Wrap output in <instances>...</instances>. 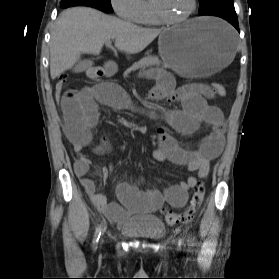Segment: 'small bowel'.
Wrapping results in <instances>:
<instances>
[{
	"instance_id": "1",
	"label": "small bowel",
	"mask_w": 279,
	"mask_h": 279,
	"mask_svg": "<svg viewBox=\"0 0 279 279\" xmlns=\"http://www.w3.org/2000/svg\"><path fill=\"white\" fill-rule=\"evenodd\" d=\"M149 74L157 80L151 98L181 103L180 109L161 107L151 113L152 118L159 124V145L153 152V157L158 161L186 166L192 174L186 181L170 185L163 191L153 188L139 189L126 182H119L117 191L121 205L109 202L98 192L96 182L88 176L92 163L83 155V150L93 142L94 129L99 120L98 104L115 109H133L128 94L117 84L102 83L82 89H68L60 100L65 135L79 156L74 166L75 174L94 205L115 222H122L128 212L153 213L165 202L173 207H183L187 202L189 189L196 187L198 178L208 175L210 162L221 154L224 146L223 114L217 106L208 102L213 96L208 86L194 83L176 89L172 76L167 72L155 70ZM162 123L183 135L195 133L201 124L210 126L212 130L196 149L185 150L166 132ZM108 150L106 138L101 145L95 147L98 153ZM98 175L102 180L108 176L114 178L113 166L99 169Z\"/></svg>"
}]
</instances>
